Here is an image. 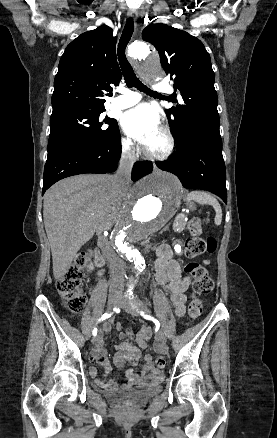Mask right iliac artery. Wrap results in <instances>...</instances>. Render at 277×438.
Segmentation results:
<instances>
[{"instance_id": "obj_1", "label": "right iliac artery", "mask_w": 277, "mask_h": 438, "mask_svg": "<svg viewBox=\"0 0 277 438\" xmlns=\"http://www.w3.org/2000/svg\"><path fill=\"white\" fill-rule=\"evenodd\" d=\"M110 316H111V314H109V313H105V314H103V315L101 316V318H100L98 321H99V322H100V321H103V320L109 318ZM96 335H97V327H95V328L93 329V336H96Z\"/></svg>"}]
</instances>
